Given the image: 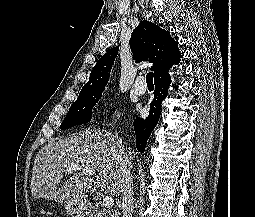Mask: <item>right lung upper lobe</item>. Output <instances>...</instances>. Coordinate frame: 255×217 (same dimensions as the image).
<instances>
[{"label": "right lung upper lobe", "mask_w": 255, "mask_h": 217, "mask_svg": "<svg viewBox=\"0 0 255 217\" xmlns=\"http://www.w3.org/2000/svg\"><path fill=\"white\" fill-rule=\"evenodd\" d=\"M130 48L136 62L149 60L154 64L151 67L154 71V78L167 71L181 58L178 43L172 39L170 33L147 20L140 22L134 29L130 39ZM118 49V47L110 49L98 60L90 73L89 81L83 86L80 94L104 90Z\"/></svg>", "instance_id": "1"}]
</instances>
